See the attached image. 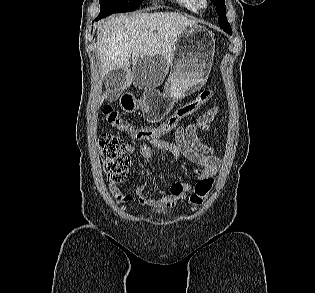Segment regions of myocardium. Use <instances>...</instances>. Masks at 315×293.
Instances as JSON below:
<instances>
[{
	"label": "myocardium",
	"instance_id": "f54148a6",
	"mask_svg": "<svg viewBox=\"0 0 315 293\" xmlns=\"http://www.w3.org/2000/svg\"><path fill=\"white\" fill-rule=\"evenodd\" d=\"M200 8L206 9L208 7V0H199Z\"/></svg>",
	"mask_w": 315,
	"mask_h": 293
}]
</instances>
